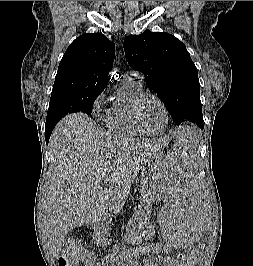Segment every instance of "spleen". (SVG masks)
<instances>
[{"label":"spleen","mask_w":253,"mask_h":266,"mask_svg":"<svg viewBox=\"0 0 253 266\" xmlns=\"http://www.w3.org/2000/svg\"><path fill=\"white\" fill-rule=\"evenodd\" d=\"M171 153L161 160L163 185L156 186L164 207L160 210L159 241L162 248H196L202 241L201 229H205L203 216H211V207H203L204 191L197 190L198 161L204 156L203 135H174Z\"/></svg>","instance_id":"spleen-1"}]
</instances>
